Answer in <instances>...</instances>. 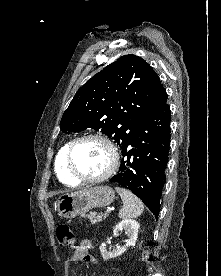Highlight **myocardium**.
<instances>
[{"label":"myocardium","instance_id":"f54148a6","mask_svg":"<svg viewBox=\"0 0 221 276\" xmlns=\"http://www.w3.org/2000/svg\"><path fill=\"white\" fill-rule=\"evenodd\" d=\"M89 139H95L103 142L107 146L110 152V163L108 168L102 174L96 177H86L79 174L73 165V151L75 147L80 142L89 140ZM118 160H119L118 152L113 142L108 137L98 133L85 134L72 140L68 145L66 156H65L66 167L69 174L77 181L86 182V183H97L109 178L116 170L118 165Z\"/></svg>","mask_w":221,"mask_h":276}]
</instances>
